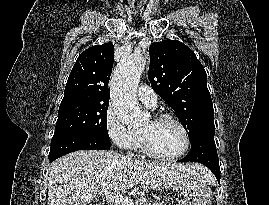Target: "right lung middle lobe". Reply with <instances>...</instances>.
Returning <instances> with one entry per match:
<instances>
[{
    "label": "right lung middle lobe",
    "mask_w": 269,
    "mask_h": 205,
    "mask_svg": "<svg viewBox=\"0 0 269 205\" xmlns=\"http://www.w3.org/2000/svg\"><path fill=\"white\" fill-rule=\"evenodd\" d=\"M107 104L80 103L59 107L55 134L77 132L109 139Z\"/></svg>",
    "instance_id": "obj_1"
}]
</instances>
